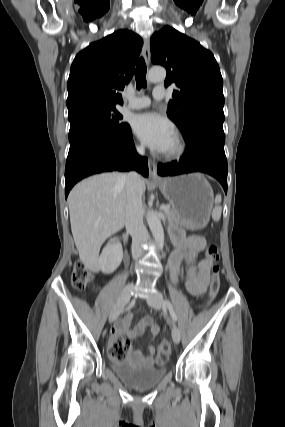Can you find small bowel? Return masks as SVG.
Instances as JSON below:
<instances>
[{
    "label": "small bowel",
    "instance_id": "small-bowel-1",
    "mask_svg": "<svg viewBox=\"0 0 285 427\" xmlns=\"http://www.w3.org/2000/svg\"><path fill=\"white\" fill-rule=\"evenodd\" d=\"M173 238L176 249L169 259L171 278L174 281L177 279L181 263L186 262V288L192 295H201L209 282V270L212 265L209 259L198 257L205 247V240L196 235L185 238L178 230L173 231ZM132 320L133 314L127 313L115 324L110 334V347L114 346L116 340L126 341L124 336L129 339H136L147 329L152 337H156L160 332L159 325L154 323L150 316L142 318L133 328L130 327ZM146 352L147 354H143L140 350L133 351L129 353L128 359L120 364H152L155 348L148 345Z\"/></svg>",
    "mask_w": 285,
    "mask_h": 427
}]
</instances>
